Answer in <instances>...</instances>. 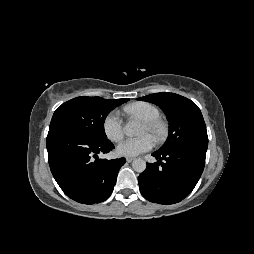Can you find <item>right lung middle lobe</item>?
<instances>
[{"instance_id": "obj_1", "label": "right lung middle lobe", "mask_w": 254, "mask_h": 254, "mask_svg": "<svg viewBox=\"0 0 254 254\" xmlns=\"http://www.w3.org/2000/svg\"><path fill=\"white\" fill-rule=\"evenodd\" d=\"M112 100L86 96L71 99L54 112L50 128L61 127L94 140H107L105 118L114 108L129 99L120 102Z\"/></svg>"}]
</instances>
